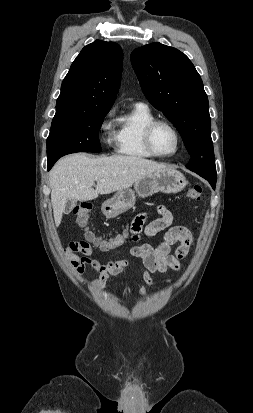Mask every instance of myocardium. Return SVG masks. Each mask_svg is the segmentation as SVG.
I'll list each match as a JSON object with an SVG mask.
<instances>
[{"mask_svg": "<svg viewBox=\"0 0 253 413\" xmlns=\"http://www.w3.org/2000/svg\"><path fill=\"white\" fill-rule=\"evenodd\" d=\"M159 125H165L169 127L176 137V148L174 152H172L171 154H161L154 147L153 133L156 127ZM143 142H144V145L147 151L152 156L159 157V158H170V157L175 156L179 152L181 148V144H182L181 135L178 129L176 128V126L172 124L170 121L164 120V119H154L145 126L143 130Z\"/></svg>", "mask_w": 253, "mask_h": 413, "instance_id": "f54148a6", "label": "myocardium"}]
</instances>
